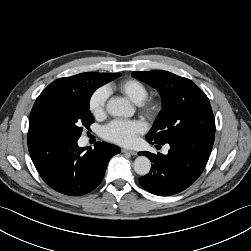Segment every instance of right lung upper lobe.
<instances>
[{
  "instance_id": "obj_1",
  "label": "right lung upper lobe",
  "mask_w": 251,
  "mask_h": 251,
  "mask_svg": "<svg viewBox=\"0 0 251 251\" xmlns=\"http://www.w3.org/2000/svg\"><path fill=\"white\" fill-rule=\"evenodd\" d=\"M82 77H83V73L77 74L71 77H64V78L57 79L51 84H49L46 87L45 91H50V90L61 91V90L74 89L78 85Z\"/></svg>"
}]
</instances>
